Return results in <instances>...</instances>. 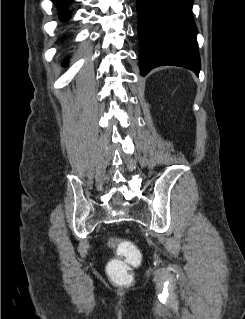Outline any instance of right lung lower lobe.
Segmentation results:
<instances>
[{"mask_svg": "<svg viewBox=\"0 0 245 319\" xmlns=\"http://www.w3.org/2000/svg\"><path fill=\"white\" fill-rule=\"evenodd\" d=\"M58 7L61 8V11L59 13L60 18H64L67 14L65 8L67 5H69L73 0H52Z\"/></svg>", "mask_w": 245, "mask_h": 319, "instance_id": "1", "label": "right lung lower lobe"}]
</instances>
